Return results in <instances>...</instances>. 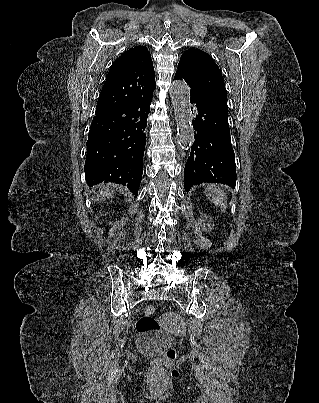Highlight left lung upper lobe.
Instances as JSON below:
<instances>
[{
    "label": "left lung upper lobe",
    "mask_w": 319,
    "mask_h": 403,
    "mask_svg": "<svg viewBox=\"0 0 319 403\" xmlns=\"http://www.w3.org/2000/svg\"><path fill=\"white\" fill-rule=\"evenodd\" d=\"M176 75L184 79L192 89L227 96L218 65L212 57L199 49L191 48L182 54Z\"/></svg>",
    "instance_id": "5c2ea615"
}]
</instances>
